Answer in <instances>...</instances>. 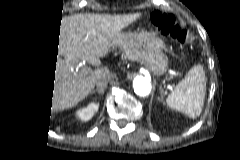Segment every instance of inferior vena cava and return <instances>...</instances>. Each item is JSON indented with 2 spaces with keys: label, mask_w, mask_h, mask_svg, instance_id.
<instances>
[{
  "label": "inferior vena cava",
  "mask_w": 240,
  "mask_h": 160,
  "mask_svg": "<svg viewBox=\"0 0 240 160\" xmlns=\"http://www.w3.org/2000/svg\"><path fill=\"white\" fill-rule=\"evenodd\" d=\"M109 77L108 78H104V79H100L96 82L97 88L99 89H104L108 83Z\"/></svg>",
  "instance_id": "1"
}]
</instances>
